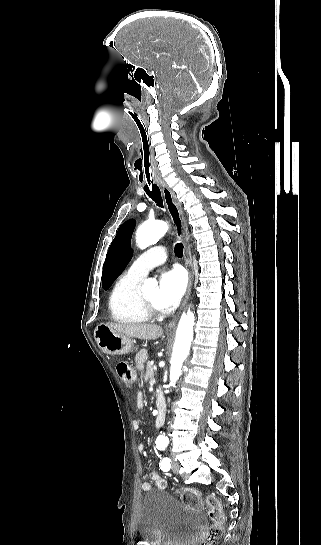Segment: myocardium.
Listing matches in <instances>:
<instances>
[{
	"label": "myocardium",
	"mask_w": 321,
	"mask_h": 545,
	"mask_svg": "<svg viewBox=\"0 0 321 545\" xmlns=\"http://www.w3.org/2000/svg\"><path fill=\"white\" fill-rule=\"evenodd\" d=\"M135 300L137 307L142 311L143 313L149 315V316H156L159 314V310L155 307H151L147 305L140 297V286H137L135 290Z\"/></svg>",
	"instance_id": "1"
}]
</instances>
